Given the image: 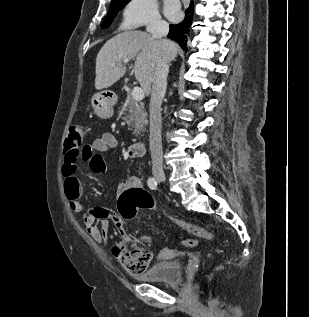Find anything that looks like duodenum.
<instances>
[{"label":"duodenum","mask_w":309,"mask_h":317,"mask_svg":"<svg viewBox=\"0 0 309 317\" xmlns=\"http://www.w3.org/2000/svg\"><path fill=\"white\" fill-rule=\"evenodd\" d=\"M145 153V145L142 142L131 144L127 149V154L131 158L141 157Z\"/></svg>","instance_id":"obj_1"}]
</instances>
